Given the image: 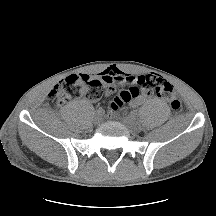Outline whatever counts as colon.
<instances>
[{"label":"colon","instance_id":"obj_1","mask_svg":"<svg viewBox=\"0 0 216 216\" xmlns=\"http://www.w3.org/2000/svg\"><path fill=\"white\" fill-rule=\"evenodd\" d=\"M140 88L148 89L151 93L167 101L173 111L181 110V100L176 95L173 86L156 75H148L140 81L138 86H132L119 92L110 104L111 110H118L130 102L139 94ZM103 90L104 85L100 79L86 74H73L60 81L49 96L58 106H63L74 96L79 95L96 101L102 96Z\"/></svg>","mask_w":216,"mask_h":216}]
</instances>
